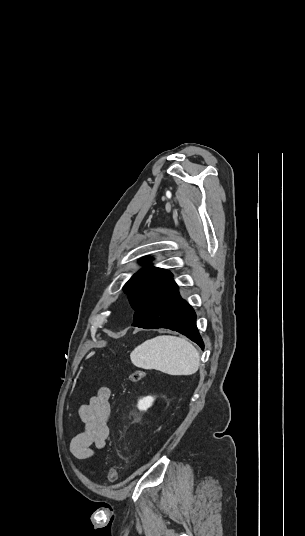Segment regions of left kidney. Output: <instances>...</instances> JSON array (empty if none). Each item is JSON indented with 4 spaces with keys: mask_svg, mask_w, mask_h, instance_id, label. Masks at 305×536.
<instances>
[{
    "mask_svg": "<svg viewBox=\"0 0 305 536\" xmlns=\"http://www.w3.org/2000/svg\"><path fill=\"white\" fill-rule=\"evenodd\" d=\"M153 402L154 398H152V396H147V398H142V400H139L137 408H139V410H147V408H151Z\"/></svg>",
    "mask_w": 305,
    "mask_h": 536,
    "instance_id": "5707ae66",
    "label": "left kidney"
}]
</instances>
